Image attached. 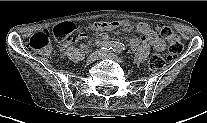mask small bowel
<instances>
[{
  "label": "small bowel",
  "instance_id": "small-bowel-1",
  "mask_svg": "<svg viewBox=\"0 0 207 123\" xmlns=\"http://www.w3.org/2000/svg\"><path fill=\"white\" fill-rule=\"evenodd\" d=\"M118 28H123L124 30L136 29L142 34L141 37H134L130 40L129 45L132 49H136L140 46H145L147 43L150 44L155 51H162L165 47L164 40L155 32L149 24L145 22L136 23L134 20L126 21H112V22H96L93 23L89 29H83L81 31V39L86 38L88 30L98 32L99 35L96 39L97 44L101 45L108 41V36L104 33L106 31H113ZM77 38L68 43L59 44V49L61 52H65L69 44L77 42Z\"/></svg>",
  "mask_w": 207,
  "mask_h": 123
}]
</instances>
